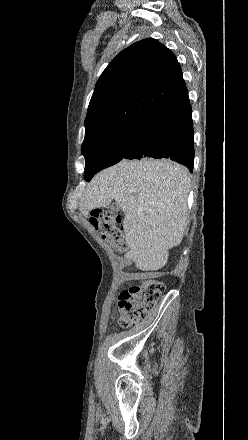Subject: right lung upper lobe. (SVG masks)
Masks as SVG:
<instances>
[{
  "label": "right lung upper lobe",
  "instance_id": "1",
  "mask_svg": "<svg viewBox=\"0 0 248 440\" xmlns=\"http://www.w3.org/2000/svg\"><path fill=\"white\" fill-rule=\"evenodd\" d=\"M188 93L175 55L149 38L121 51L97 81L82 148L128 129L154 109Z\"/></svg>",
  "mask_w": 248,
  "mask_h": 440
}]
</instances>
